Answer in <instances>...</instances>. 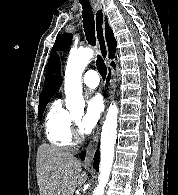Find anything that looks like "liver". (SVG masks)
I'll return each mask as SVG.
<instances>
[{
  "label": "liver",
  "mask_w": 178,
  "mask_h": 195,
  "mask_svg": "<svg viewBox=\"0 0 178 195\" xmlns=\"http://www.w3.org/2000/svg\"><path fill=\"white\" fill-rule=\"evenodd\" d=\"M37 179L40 195H73L85 184L87 174L72 154L42 144L37 153Z\"/></svg>",
  "instance_id": "liver-1"
}]
</instances>
